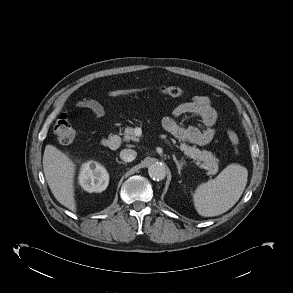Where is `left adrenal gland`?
I'll return each instance as SVG.
<instances>
[{
  "instance_id": "obj_1",
  "label": "left adrenal gland",
  "mask_w": 293,
  "mask_h": 293,
  "mask_svg": "<svg viewBox=\"0 0 293 293\" xmlns=\"http://www.w3.org/2000/svg\"><path fill=\"white\" fill-rule=\"evenodd\" d=\"M173 160H174V162H175V164H176V166H177L178 173L181 174L182 167H183V165H185V163H184L183 161L179 162V161L176 159L175 155H173Z\"/></svg>"
}]
</instances>
